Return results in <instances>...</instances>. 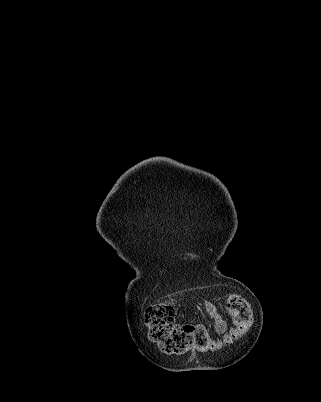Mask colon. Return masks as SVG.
<instances>
[{
  "mask_svg": "<svg viewBox=\"0 0 321 402\" xmlns=\"http://www.w3.org/2000/svg\"><path fill=\"white\" fill-rule=\"evenodd\" d=\"M226 307L234 326L222 338H215L202 324L176 323L175 304L172 300L153 304L145 312L149 339L168 354H183L192 350H218L223 345L237 340L252 323L249 304L240 295L229 296Z\"/></svg>",
  "mask_w": 321,
  "mask_h": 402,
  "instance_id": "colon-1",
  "label": "colon"
}]
</instances>
